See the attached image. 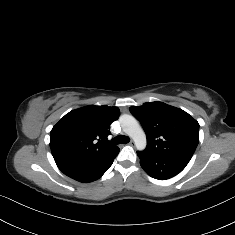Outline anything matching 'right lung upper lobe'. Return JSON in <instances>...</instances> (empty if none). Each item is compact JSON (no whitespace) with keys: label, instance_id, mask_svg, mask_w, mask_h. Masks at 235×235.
<instances>
[{"label":"right lung upper lobe","instance_id":"right-lung-upper-lobe-1","mask_svg":"<svg viewBox=\"0 0 235 235\" xmlns=\"http://www.w3.org/2000/svg\"><path fill=\"white\" fill-rule=\"evenodd\" d=\"M119 114L117 107L106 105H90L66 114L51 130L55 161H100L117 155L120 149L110 145L107 137Z\"/></svg>","mask_w":235,"mask_h":235}]
</instances>
